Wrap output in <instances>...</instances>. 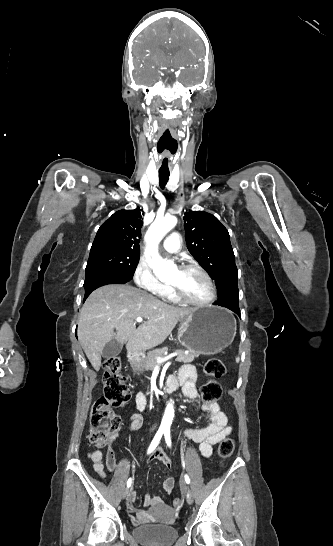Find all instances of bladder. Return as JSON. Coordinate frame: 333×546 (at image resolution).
I'll use <instances>...</instances> for the list:
<instances>
[{
	"instance_id": "1",
	"label": "bladder",
	"mask_w": 333,
	"mask_h": 546,
	"mask_svg": "<svg viewBox=\"0 0 333 546\" xmlns=\"http://www.w3.org/2000/svg\"><path fill=\"white\" fill-rule=\"evenodd\" d=\"M132 534L145 546H169L177 539L178 530L173 526L149 523L135 526Z\"/></svg>"
}]
</instances>
